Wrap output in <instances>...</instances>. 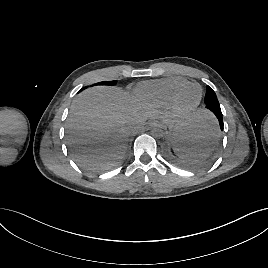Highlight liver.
I'll use <instances>...</instances> for the list:
<instances>
[{
    "label": "liver",
    "instance_id": "6515ba94",
    "mask_svg": "<svg viewBox=\"0 0 268 268\" xmlns=\"http://www.w3.org/2000/svg\"><path fill=\"white\" fill-rule=\"evenodd\" d=\"M151 106L135 102L117 87L98 86L80 93L73 101L66 121L67 142L80 154L81 163L105 167L118 158L132 129L148 118H161L173 125L175 120ZM207 114L199 111L189 124Z\"/></svg>",
    "mask_w": 268,
    "mask_h": 268
}]
</instances>
